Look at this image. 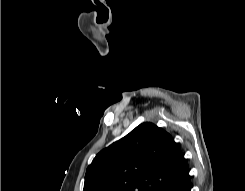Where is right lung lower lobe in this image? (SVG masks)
<instances>
[{
    "label": "right lung lower lobe",
    "instance_id": "obj_1",
    "mask_svg": "<svg viewBox=\"0 0 245 191\" xmlns=\"http://www.w3.org/2000/svg\"><path fill=\"white\" fill-rule=\"evenodd\" d=\"M160 191H191L190 176L187 172L179 179L163 187Z\"/></svg>",
    "mask_w": 245,
    "mask_h": 191
}]
</instances>
